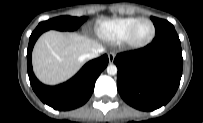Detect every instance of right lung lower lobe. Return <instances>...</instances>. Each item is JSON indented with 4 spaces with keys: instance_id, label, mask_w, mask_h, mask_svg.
<instances>
[{
    "instance_id": "98d812e1",
    "label": "right lung lower lobe",
    "mask_w": 203,
    "mask_h": 123,
    "mask_svg": "<svg viewBox=\"0 0 203 123\" xmlns=\"http://www.w3.org/2000/svg\"><path fill=\"white\" fill-rule=\"evenodd\" d=\"M44 31L34 30L27 49L28 76L31 86L40 100L56 110H71L85 104L93 93L95 81L108 65V56L103 55L89 61L67 82L47 86L38 81L32 69L31 54L38 37Z\"/></svg>"
}]
</instances>
